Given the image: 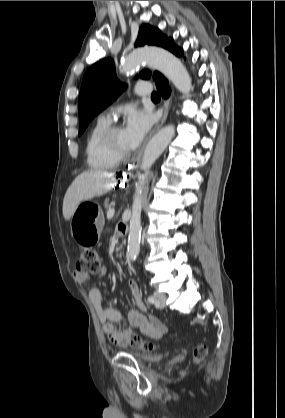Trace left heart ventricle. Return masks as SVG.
Segmentation results:
<instances>
[{"label": "left heart ventricle", "mask_w": 285, "mask_h": 418, "mask_svg": "<svg viewBox=\"0 0 285 418\" xmlns=\"http://www.w3.org/2000/svg\"><path fill=\"white\" fill-rule=\"evenodd\" d=\"M113 143L116 148L126 150L130 148L128 136L124 128L120 127L114 134Z\"/></svg>", "instance_id": "obj_1"}]
</instances>
